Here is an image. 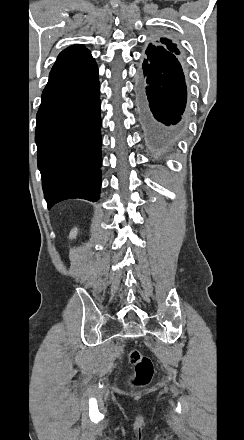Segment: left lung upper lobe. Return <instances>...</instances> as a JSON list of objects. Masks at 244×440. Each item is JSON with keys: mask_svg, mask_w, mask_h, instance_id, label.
<instances>
[{"mask_svg": "<svg viewBox=\"0 0 244 440\" xmlns=\"http://www.w3.org/2000/svg\"><path fill=\"white\" fill-rule=\"evenodd\" d=\"M145 54L154 62L170 63L176 60L172 55L180 59L181 53L176 44L168 38L161 37L160 39L155 38L153 43L148 45Z\"/></svg>", "mask_w": 244, "mask_h": 440, "instance_id": "5c2ea615", "label": "left lung upper lobe"}]
</instances>
